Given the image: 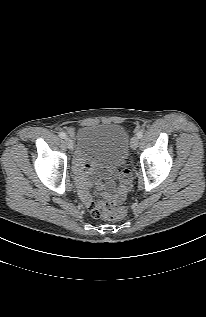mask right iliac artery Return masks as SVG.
<instances>
[{"label": "right iliac artery", "mask_w": 206, "mask_h": 317, "mask_svg": "<svg viewBox=\"0 0 206 317\" xmlns=\"http://www.w3.org/2000/svg\"><path fill=\"white\" fill-rule=\"evenodd\" d=\"M59 137H60V138H65V137H66V134H65L64 132H60V133H59Z\"/></svg>", "instance_id": "1"}]
</instances>
